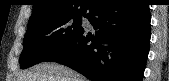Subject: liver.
Masks as SVG:
<instances>
[{"label":"liver","mask_w":169,"mask_h":81,"mask_svg":"<svg viewBox=\"0 0 169 81\" xmlns=\"http://www.w3.org/2000/svg\"><path fill=\"white\" fill-rule=\"evenodd\" d=\"M18 81H87L76 71L55 63L43 62L23 72Z\"/></svg>","instance_id":"obj_1"}]
</instances>
